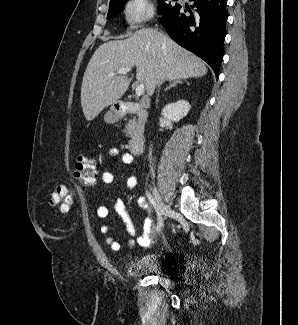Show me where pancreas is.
I'll return each instance as SVG.
<instances>
[{
	"mask_svg": "<svg viewBox=\"0 0 298 325\" xmlns=\"http://www.w3.org/2000/svg\"><path fill=\"white\" fill-rule=\"evenodd\" d=\"M136 116H138V118H131L125 126L126 134H128V136H133L135 130H140V132H143L144 130V124L147 120V112H145V110H143V112H136Z\"/></svg>",
	"mask_w": 298,
	"mask_h": 325,
	"instance_id": "obj_1",
	"label": "pancreas"
}]
</instances>
